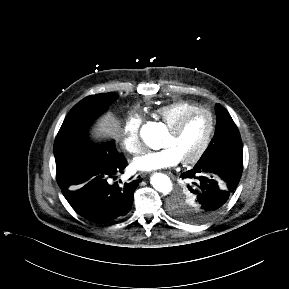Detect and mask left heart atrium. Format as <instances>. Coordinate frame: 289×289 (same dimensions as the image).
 <instances>
[{
	"label": "left heart atrium",
	"mask_w": 289,
	"mask_h": 289,
	"mask_svg": "<svg viewBox=\"0 0 289 289\" xmlns=\"http://www.w3.org/2000/svg\"><path fill=\"white\" fill-rule=\"evenodd\" d=\"M181 158L171 147L149 151L133 160V167L140 171H154L176 166Z\"/></svg>",
	"instance_id": "obj_1"
}]
</instances>
